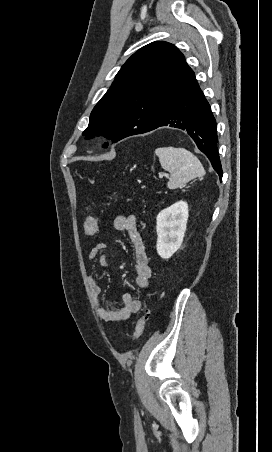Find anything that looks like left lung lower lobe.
Segmentation results:
<instances>
[{
    "label": "left lung lower lobe",
    "mask_w": 272,
    "mask_h": 452,
    "mask_svg": "<svg viewBox=\"0 0 272 452\" xmlns=\"http://www.w3.org/2000/svg\"><path fill=\"white\" fill-rule=\"evenodd\" d=\"M161 126L186 131L198 149L208 157L212 167L222 179V167L217 150L216 121L192 70L163 105L157 121L149 128L132 135L145 133Z\"/></svg>",
    "instance_id": "obj_1"
}]
</instances>
